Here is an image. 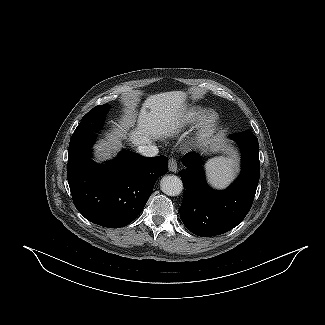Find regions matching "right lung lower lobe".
<instances>
[{
    "label": "right lung lower lobe",
    "mask_w": 325,
    "mask_h": 325,
    "mask_svg": "<svg viewBox=\"0 0 325 325\" xmlns=\"http://www.w3.org/2000/svg\"><path fill=\"white\" fill-rule=\"evenodd\" d=\"M95 132L73 133L67 178L74 205L89 221L108 228L124 227L143 210L156 180L168 170V158L143 157L125 150L113 161L91 160Z\"/></svg>",
    "instance_id": "98d812e1"
}]
</instances>
